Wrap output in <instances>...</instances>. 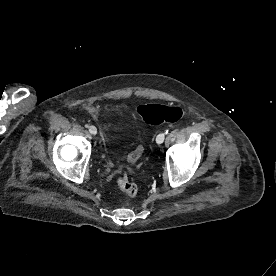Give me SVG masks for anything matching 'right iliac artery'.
Segmentation results:
<instances>
[{
	"label": "right iliac artery",
	"mask_w": 276,
	"mask_h": 276,
	"mask_svg": "<svg viewBox=\"0 0 276 276\" xmlns=\"http://www.w3.org/2000/svg\"><path fill=\"white\" fill-rule=\"evenodd\" d=\"M85 127L88 128L89 127L88 124H85Z\"/></svg>",
	"instance_id": "82829eb1"
}]
</instances>
